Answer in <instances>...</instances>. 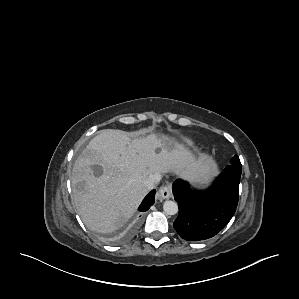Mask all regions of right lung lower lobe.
<instances>
[{
	"label": "right lung lower lobe",
	"mask_w": 299,
	"mask_h": 299,
	"mask_svg": "<svg viewBox=\"0 0 299 299\" xmlns=\"http://www.w3.org/2000/svg\"><path fill=\"white\" fill-rule=\"evenodd\" d=\"M155 190H152L142 201L141 205L139 206L138 210L141 212L147 211L153 204L155 199Z\"/></svg>",
	"instance_id": "obj_1"
}]
</instances>
